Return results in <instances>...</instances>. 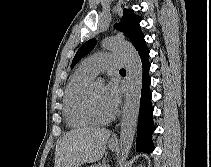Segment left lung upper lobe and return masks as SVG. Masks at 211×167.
I'll return each mask as SVG.
<instances>
[{
    "label": "left lung upper lobe",
    "instance_id": "5c2ea615",
    "mask_svg": "<svg viewBox=\"0 0 211 167\" xmlns=\"http://www.w3.org/2000/svg\"><path fill=\"white\" fill-rule=\"evenodd\" d=\"M140 21L141 17L136 16L132 9H124L122 21L115 25L116 28H119L130 39L139 55L149 52L144 40V34L139 25ZM95 44L96 39H90L85 42L75 54L72 66L83 56L88 54L94 48Z\"/></svg>",
    "mask_w": 211,
    "mask_h": 167
}]
</instances>
